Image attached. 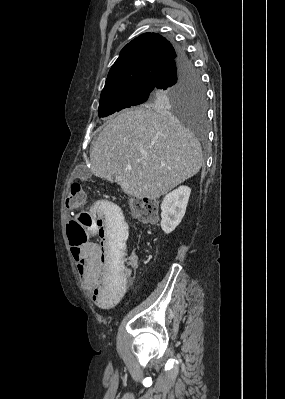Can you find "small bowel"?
Wrapping results in <instances>:
<instances>
[{
	"mask_svg": "<svg viewBox=\"0 0 285 399\" xmlns=\"http://www.w3.org/2000/svg\"><path fill=\"white\" fill-rule=\"evenodd\" d=\"M89 213L91 222L87 224L86 232L98 234L100 241L87 242L76 248L77 267L84 283L92 289L93 302L101 309H108L125 292L126 280L119 276V268L123 263L136 267L137 256L122 260L129 234L128 224L112 202L97 199L92 203ZM113 245L118 247V258L111 261L113 254L110 248Z\"/></svg>",
	"mask_w": 285,
	"mask_h": 399,
	"instance_id": "c3829d8e",
	"label": "small bowel"
}]
</instances>
